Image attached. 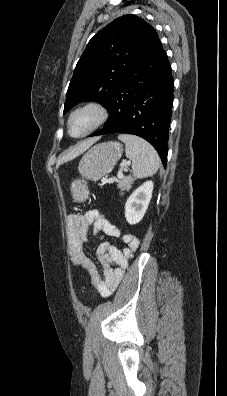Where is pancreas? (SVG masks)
Returning <instances> with one entry per match:
<instances>
[{
    "label": "pancreas",
    "mask_w": 227,
    "mask_h": 396,
    "mask_svg": "<svg viewBox=\"0 0 227 396\" xmlns=\"http://www.w3.org/2000/svg\"><path fill=\"white\" fill-rule=\"evenodd\" d=\"M132 182L133 179L131 177L121 178L117 181L118 188L121 190V195L123 194V191L130 190Z\"/></svg>",
    "instance_id": "cf45deb5"
}]
</instances>
